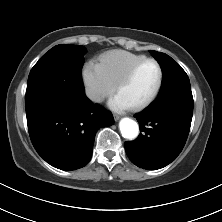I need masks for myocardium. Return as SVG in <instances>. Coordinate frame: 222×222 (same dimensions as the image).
Here are the masks:
<instances>
[{
	"label": "myocardium",
	"instance_id": "obj_1",
	"mask_svg": "<svg viewBox=\"0 0 222 222\" xmlns=\"http://www.w3.org/2000/svg\"><path fill=\"white\" fill-rule=\"evenodd\" d=\"M146 63H153L156 65V67L158 69V82H157V85H156L154 91L152 92V94L145 101H143L137 105L131 106V109L134 111H139V110H143V109L147 108L157 98V96L162 88L163 78H164L163 69H162L160 63L153 58H145V59L137 62L136 64H134L115 85V91L118 92L122 87H124L126 84H128L131 81V79L133 78V76L135 75L137 70L142 65H144Z\"/></svg>",
	"mask_w": 222,
	"mask_h": 222
}]
</instances>
